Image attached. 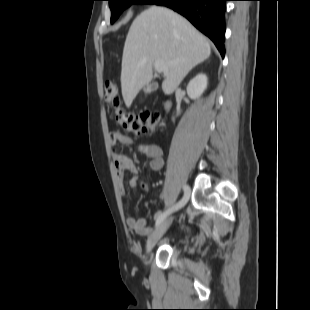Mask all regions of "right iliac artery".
<instances>
[{
	"label": "right iliac artery",
	"instance_id": "82829eb1",
	"mask_svg": "<svg viewBox=\"0 0 310 310\" xmlns=\"http://www.w3.org/2000/svg\"><path fill=\"white\" fill-rule=\"evenodd\" d=\"M183 190H184L183 198L176 205L160 214V216L156 220L155 227H158L169 214H171L175 210L182 208L187 203L190 196V187L188 185H184Z\"/></svg>",
	"mask_w": 310,
	"mask_h": 310
}]
</instances>
